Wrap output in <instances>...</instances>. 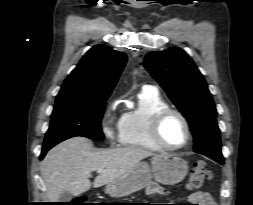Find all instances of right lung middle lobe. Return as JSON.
Wrapping results in <instances>:
<instances>
[{
    "instance_id": "right-lung-middle-lobe-1",
    "label": "right lung middle lobe",
    "mask_w": 253,
    "mask_h": 205,
    "mask_svg": "<svg viewBox=\"0 0 253 205\" xmlns=\"http://www.w3.org/2000/svg\"><path fill=\"white\" fill-rule=\"evenodd\" d=\"M105 105L106 99L56 102L43 147H53L74 136L103 140L101 119Z\"/></svg>"
}]
</instances>
